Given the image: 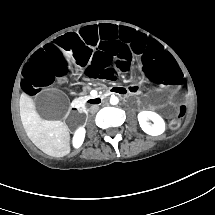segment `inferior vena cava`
<instances>
[{
	"instance_id": "1",
	"label": "inferior vena cava",
	"mask_w": 215,
	"mask_h": 215,
	"mask_svg": "<svg viewBox=\"0 0 215 215\" xmlns=\"http://www.w3.org/2000/svg\"><path fill=\"white\" fill-rule=\"evenodd\" d=\"M99 110V106L98 105H92L90 107V113L94 114Z\"/></svg>"
}]
</instances>
